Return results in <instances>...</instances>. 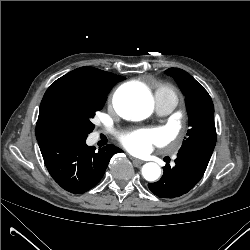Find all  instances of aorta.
I'll use <instances>...</instances> for the list:
<instances>
[{"instance_id": "762f6f07", "label": "aorta", "mask_w": 250, "mask_h": 250, "mask_svg": "<svg viewBox=\"0 0 250 250\" xmlns=\"http://www.w3.org/2000/svg\"><path fill=\"white\" fill-rule=\"evenodd\" d=\"M114 106L126 119L142 120L152 112L151 94L141 83H126L116 92ZM160 174L161 169L156 163L149 162L142 167V175L147 181L157 180Z\"/></svg>"}]
</instances>
